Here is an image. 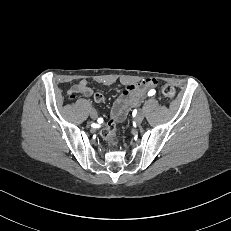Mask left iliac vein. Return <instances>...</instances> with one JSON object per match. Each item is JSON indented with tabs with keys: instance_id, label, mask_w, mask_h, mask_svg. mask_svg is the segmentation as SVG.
<instances>
[{
	"instance_id": "1",
	"label": "left iliac vein",
	"mask_w": 231,
	"mask_h": 231,
	"mask_svg": "<svg viewBox=\"0 0 231 231\" xmlns=\"http://www.w3.org/2000/svg\"><path fill=\"white\" fill-rule=\"evenodd\" d=\"M144 119V112L143 111H139L136 115V121L138 123H141Z\"/></svg>"
}]
</instances>
